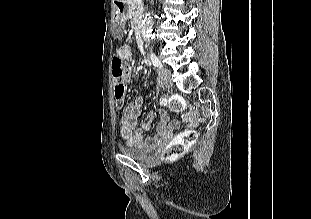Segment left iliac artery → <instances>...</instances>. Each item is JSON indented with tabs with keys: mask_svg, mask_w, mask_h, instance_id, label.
<instances>
[{
	"mask_svg": "<svg viewBox=\"0 0 311 219\" xmlns=\"http://www.w3.org/2000/svg\"><path fill=\"white\" fill-rule=\"evenodd\" d=\"M150 58L155 67H162L161 62L159 61L158 57L153 52H151Z\"/></svg>",
	"mask_w": 311,
	"mask_h": 219,
	"instance_id": "left-iliac-artery-1",
	"label": "left iliac artery"
}]
</instances>
